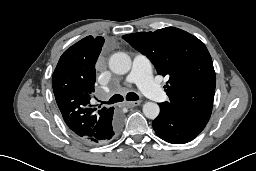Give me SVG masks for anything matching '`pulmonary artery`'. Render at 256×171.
Masks as SVG:
<instances>
[{
  "label": "pulmonary artery",
  "instance_id": "obj_1",
  "mask_svg": "<svg viewBox=\"0 0 256 171\" xmlns=\"http://www.w3.org/2000/svg\"><path fill=\"white\" fill-rule=\"evenodd\" d=\"M126 81L135 83L153 101L161 102L166 97L164 91L154 83L151 63L145 55L138 54L134 57L132 69L127 75Z\"/></svg>",
  "mask_w": 256,
  "mask_h": 171
}]
</instances>
